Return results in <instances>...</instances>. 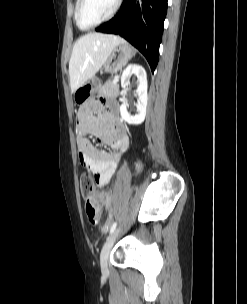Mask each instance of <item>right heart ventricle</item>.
<instances>
[{"label": "right heart ventricle", "mask_w": 247, "mask_h": 304, "mask_svg": "<svg viewBox=\"0 0 247 304\" xmlns=\"http://www.w3.org/2000/svg\"><path fill=\"white\" fill-rule=\"evenodd\" d=\"M77 5H78V0H76V3H75V10H74V17L76 19V9H77Z\"/></svg>", "instance_id": "1"}]
</instances>
